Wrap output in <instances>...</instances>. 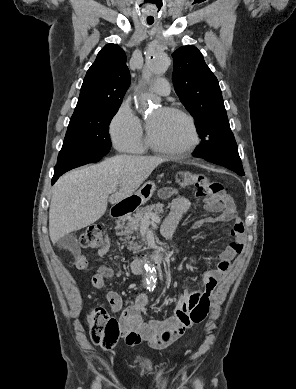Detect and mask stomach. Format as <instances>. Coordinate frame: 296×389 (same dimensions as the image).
Instances as JSON below:
<instances>
[{"instance_id": "obj_1", "label": "stomach", "mask_w": 296, "mask_h": 389, "mask_svg": "<svg viewBox=\"0 0 296 389\" xmlns=\"http://www.w3.org/2000/svg\"><path fill=\"white\" fill-rule=\"evenodd\" d=\"M154 190H155V184L152 182H147L134 195L139 197L142 202H145L151 198Z\"/></svg>"}]
</instances>
